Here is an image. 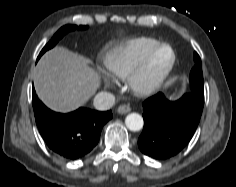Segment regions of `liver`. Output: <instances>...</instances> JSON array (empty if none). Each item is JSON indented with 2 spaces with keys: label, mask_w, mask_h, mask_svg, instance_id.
<instances>
[{
  "label": "liver",
  "mask_w": 236,
  "mask_h": 187,
  "mask_svg": "<svg viewBox=\"0 0 236 187\" xmlns=\"http://www.w3.org/2000/svg\"><path fill=\"white\" fill-rule=\"evenodd\" d=\"M33 80L40 100L63 113L83 106L100 86V77L88 60L63 47H55L41 57Z\"/></svg>",
  "instance_id": "obj_1"
}]
</instances>
